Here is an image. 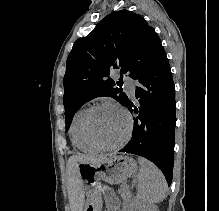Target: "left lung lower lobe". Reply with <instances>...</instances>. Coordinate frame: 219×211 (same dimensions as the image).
<instances>
[{"label": "left lung lower lobe", "instance_id": "0a47b994", "mask_svg": "<svg viewBox=\"0 0 219 211\" xmlns=\"http://www.w3.org/2000/svg\"><path fill=\"white\" fill-rule=\"evenodd\" d=\"M137 81V102H124L134 119L132 138L121 152H128L152 161L172 182L174 164V131L176 124L175 86L165 51L141 74Z\"/></svg>", "mask_w": 219, "mask_h": 211}]
</instances>
